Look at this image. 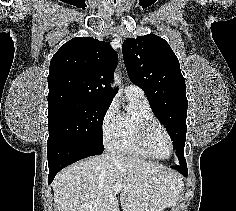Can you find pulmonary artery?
<instances>
[{
    "label": "pulmonary artery",
    "instance_id": "e3ab8cb5",
    "mask_svg": "<svg viewBox=\"0 0 236 211\" xmlns=\"http://www.w3.org/2000/svg\"><path fill=\"white\" fill-rule=\"evenodd\" d=\"M126 98H138V99H146L143 90L136 85H128L124 89Z\"/></svg>",
    "mask_w": 236,
    "mask_h": 211
}]
</instances>
